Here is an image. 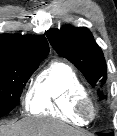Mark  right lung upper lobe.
Segmentation results:
<instances>
[{
    "label": "right lung upper lobe",
    "instance_id": "cb5924a9",
    "mask_svg": "<svg viewBox=\"0 0 117 136\" xmlns=\"http://www.w3.org/2000/svg\"><path fill=\"white\" fill-rule=\"evenodd\" d=\"M49 53V45L43 35H0V60L29 62L44 59Z\"/></svg>",
    "mask_w": 117,
    "mask_h": 136
}]
</instances>
